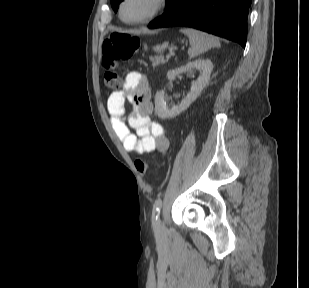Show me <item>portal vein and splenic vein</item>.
Here are the masks:
<instances>
[{"label":"portal vein and splenic vein","instance_id":"portal-vein-and-splenic-vein-1","mask_svg":"<svg viewBox=\"0 0 309 288\" xmlns=\"http://www.w3.org/2000/svg\"><path fill=\"white\" fill-rule=\"evenodd\" d=\"M170 57H171V54H170V53L166 54V58H167V60H169V59H170Z\"/></svg>","mask_w":309,"mask_h":288}]
</instances>
